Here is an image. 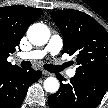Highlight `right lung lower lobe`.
Listing matches in <instances>:
<instances>
[{"label": "right lung lower lobe", "instance_id": "1", "mask_svg": "<svg viewBox=\"0 0 108 108\" xmlns=\"http://www.w3.org/2000/svg\"><path fill=\"white\" fill-rule=\"evenodd\" d=\"M41 71L18 69L0 72V108H19L29 85L41 77Z\"/></svg>", "mask_w": 108, "mask_h": 108}]
</instances>
